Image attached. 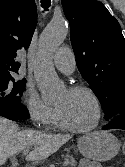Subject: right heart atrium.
I'll return each instance as SVG.
<instances>
[{"label":"right heart atrium","mask_w":125,"mask_h":167,"mask_svg":"<svg viewBox=\"0 0 125 167\" xmlns=\"http://www.w3.org/2000/svg\"><path fill=\"white\" fill-rule=\"evenodd\" d=\"M23 103L34 125L48 127L53 123L57 115L56 109L46 104L33 87L26 88Z\"/></svg>","instance_id":"1"}]
</instances>
